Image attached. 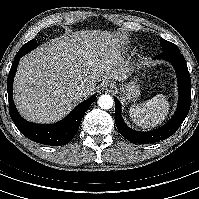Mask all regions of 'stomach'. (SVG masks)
<instances>
[{"label": "stomach", "instance_id": "0dacf381", "mask_svg": "<svg viewBox=\"0 0 199 199\" xmlns=\"http://www.w3.org/2000/svg\"><path fill=\"white\" fill-rule=\"evenodd\" d=\"M139 78L136 77L126 85L120 86V91L125 101H136L141 94Z\"/></svg>", "mask_w": 199, "mask_h": 199}]
</instances>
